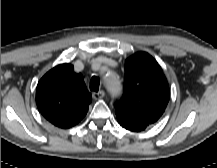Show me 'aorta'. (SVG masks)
<instances>
[{"label": "aorta", "mask_w": 217, "mask_h": 168, "mask_svg": "<svg viewBox=\"0 0 217 168\" xmlns=\"http://www.w3.org/2000/svg\"><path fill=\"white\" fill-rule=\"evenodd\" d=\"M105 84L112 95L116 96L119 94L121 86L115 76H105Z\"/></svg>", "instance_id": "obj_1"}]
</instances>
